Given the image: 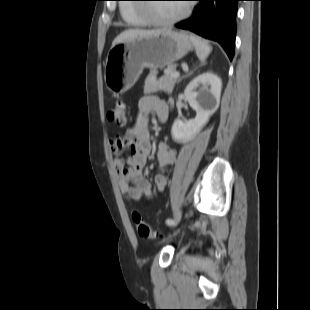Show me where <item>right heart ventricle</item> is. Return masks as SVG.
Returning <instances> with one entry per match:
<instances>
[{
	"label": "right heart ventricle",
	"instance_id": "right-heart-ventricle-1",
	"mask_svg": "<svg viewBox=\"0 0 310 310\" xmlns=\"http://www.w3.org/2000/svg\"><path fill=\"white\" fill-rule=\"evenodd\" d=\"M120 14L123 20L131 27L145 26L150 23L149 19L131 4H121Z\"/></svg>",
	"mask_w": 310,
	"mask_h": 310
}]
</instances>
